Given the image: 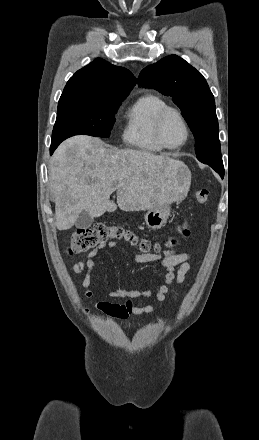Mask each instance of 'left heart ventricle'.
Returning <instances> with one entry per match:
<instances>
[{
	"mask_svg": "<svg viewBox=\"0 0 259 440\" xmlns=\"http://www.w3.org/2000/svg\"><path fill=\"white\" fill-rule=\"evenodd\" d=\"M162 135L165 142L170 146H175L185 139V129L175 114H169L162 127Z\"/></svg>",
	"mask_w": 259,
	"mask_h": 440,
	"instance_id": "obj_1",
	"label": "left heart ventricle"
}]
</instances>
